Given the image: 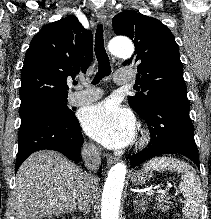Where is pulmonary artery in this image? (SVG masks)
Wrapping results in <instances>:
<instances>
[{"label": "pulmonary artery", "mask_w": 211, "mask_h": 219, "mask_svg": "<svg viewBox=\"0 0 211 219\" xmlns=\"http://www.w3.org/2000/svg\"><path fill=\"white\" fill-rule=\"evenodd\" d=\"M115 82L117 84H128L131 82L129 71H117L115 74ZM102 96V91L99 89L93 91L82 90L74 92L69 96L68 103L73 106H82L90 104Z\"/></svg>", "instance_id": "pulmonary-artery-1"}]
</instances>
